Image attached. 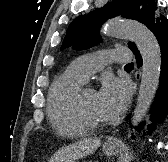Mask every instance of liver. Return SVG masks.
<instances>
[{"mask_svg":"<svg viewBox=\"0 0 168 162\" xmlns=\"http://www.w3.org/2000/svg\"><path fill=\"white\" fill-rule=\"evenodd\" d=\"M101 145L99 138H88L59 149L49 162H74L94 152Z\"/></svg>","mask_w":168,"mask_h":162,"instance_id":"1","label":"liver"}]
</instances>
